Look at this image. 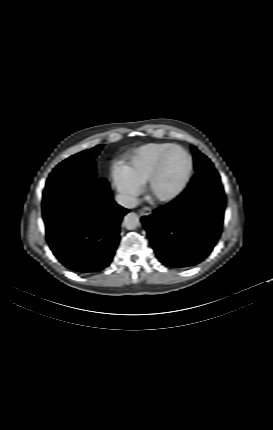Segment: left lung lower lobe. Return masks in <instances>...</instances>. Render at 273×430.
Segmentation results:
<instances>
[{
	"label": "left lung lower lobe",
	"mask_w": 273,
	"mask_h": 430,
	"mask_svg": "<svg viewBox=\"0 0 273 430\" xmlns=\"http://www.w3.org/2000/svg\"><path fill=\"white\" fill-rule=\"evenodd\" d=\"M225 194L218 172L204 169L173 201L142 217L159 260L172 268L203 261L222 231Z\"/></svg>",
	"instance_id": "0a47b994"
}]
</instances>
